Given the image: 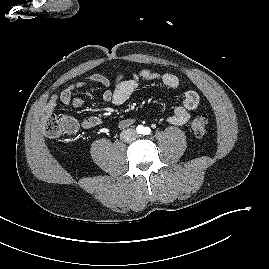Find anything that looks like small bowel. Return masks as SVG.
<instances>
[{
	"label": "small bowel",
	"mask_w": 269,
	"mask_h": 269,
	"mask_svg": "<svg viewBox=\"0 0 269 269\" xmlns=\"http://www.w3.org/2000/svg\"><path fill=\"white\" fill-rule=\"evenodd\" d=\"M91 82L98 83L104 87L102 93V99L105 102H110L114 105L124 104L130 96L140 87L141 84L146 82L158 81L166 87L176 88L179 85V78L168 72L157 73L150 69H141L134 72L129 78H124L122 74H118L115 77L113 86H111L109 79L99 73H94L89 76ZM87 87L86 82H76L64 88L60 93L51 96L48 101L45 110L46 112H53L58 103L61 102L66 106L80 107L83 104L82 98L75 96V92ZM200 102V97L196 91H187L184 95V99L181 105L176 106L171 115L168 117V121L173 125L185 124L191 115V112L195 110ZM70 121L74 124V130L69 134L76 132L78 123L75 119L69 117ZM135 122L134 118H125L119 122V128H126L131 126ZM101 124V119L96 116H91L84 119L81 123L84 129H92Z\"/></svg>",
	"instance_id": "small-bowel-1"
}]
</instances>
